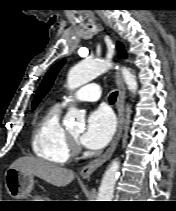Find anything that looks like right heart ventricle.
Masks as SVG:
<instances>
[{
  "label": "right heart ventricle",
  "instance_id": "right-heart-ventricle-1",
  "mask_svg": "<svg viewBox=\"0 0 176 211\" xmlns=\"http://www.w3.org/2000/svg\"><path fill=\"white\" fill-rule=\"evenodd\" d=\"M60 111V105L47 109L35 124L31 137L33 153L55 164H65L71 156L66 129L60 122Z\"/></svg>",
  "mask_w": 176,
  "mask_h": 211
}]
</instances>
